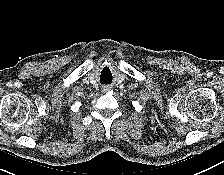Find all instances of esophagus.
<instances>
[{
	"instance_id": "1",
	"label": "esophagus",
	"mask_w": 224,
	"mask_h": 175,
	"mask_svg": "<svg viewBox=\"0 0 224 175\" xmlns=\"http://www.w3.org/2000/svg\"><path fill=\"white\" fill-rule=\"evenodd\" d=\"M110 90H111V87L108 86V85H105V86L102 87V92H103V93H106V92H108V91H110Z\"/></svg>"
}]
</instances>
